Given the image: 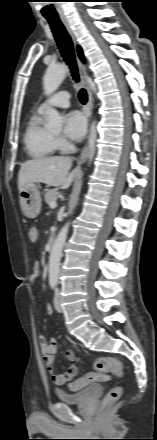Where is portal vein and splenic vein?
Segmentation results:
<instances>
[{
  "mask_svg": "<svg viewBox=\"0 0 157 440\" xmlns=\"http://www.w3.org/2000/svg\"><path fill=\"white\" fill-rule=\"evenodd\" d=\"M49 206H50V208H52V209L56 208V207H57V203H56V201H52V202H50Z\"/></svg>",
  "mask_w": 157,
  "mask_h": 440,
  "instance_id": "obj_1",
  "label": "portal vein and splenic vein"
}]
</instances>
